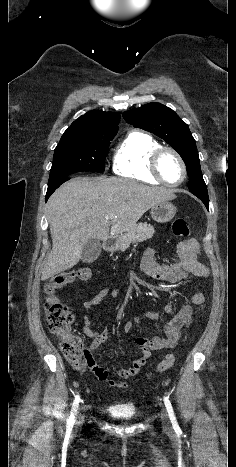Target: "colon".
<instances>
[{
	"label": "colon",
	"mask_w": 236,
	"mask_h": 467,
	"mask_svg": "<svg viewBox=\"0 0 236 467\" xmlns=\"http://www.w3.org/2000/svg\"><path fill=\"white\" fill-rule=\"evenodd\" d=\"M173 233L183 239L191 237V230L183 218H176L172 222ZM92 276V270L89 267H80L74 270H68L58 273L51 277L45 287L44 309L46 320L51 333L60 339V349L76 370H81L89 366L92 356L86 348L83 339L72 332L71 327L74 321V315L69 308L61 301L57 295L58 291L76 281H86ZM175 361L173 354H167L165 358L156 367L155 372L162 373L171 368Z\"/></svg>",
	"instance_id": "obj_1"
}]
</instances>
